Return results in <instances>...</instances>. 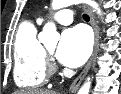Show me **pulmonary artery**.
I'll return each instance as SVG.
<instances>
[{"mask_svg": "<svg viewBox=\"0 0 121 94\" xmlns=\"http://www.w3.org/2000/svg\"><path fill=\"white\" fill-rule=\"evenodd\" d=\"M54 18L62 25H69L73 21L74 13L71 10L64 9L59 11Z\"/></svg>", "mask_w": 121, "mask_h": 94, "instance_id": "e3ab8cb5", "label": "pulmonary artery"}]
</instances>
